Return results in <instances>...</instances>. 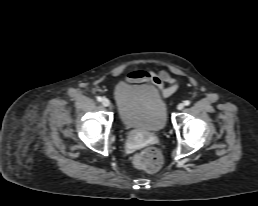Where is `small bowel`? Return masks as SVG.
<instances>
[{"mask_svg": "<svg viewBox=\"0 0 258 206\" xmlns=\"http://www.w3.org/2000/svg\"><path fill=\"white\" fill-rule=\"evenodd\" d=\"M126 80L130 83H145L155 85L164 98L174 94L179 88L178 80L164 69L135 70L127 75ZM164 83H168L170 86L164 87Z\"/></svg>", "mask_w": 258, "mask_h": 206, "instance_id": "small-bowel-1", "label": "small bowel"}]
</instances>
